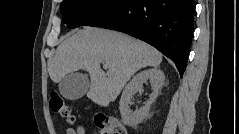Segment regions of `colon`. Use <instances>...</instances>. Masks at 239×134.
I'll use <instances>...</instances> for the list:
<instances>
[{
    "label": "colon",
    "mask_w": 239,
    "mask_h": 134,
    "mask_svg": "<svg viewBox=\"0 0 239 134\" xmlns=\"http://www.w3.org/2000/svg\"><path fill=\"white\" fill-rule=\"evenodd\" d=\"M49 107L53 112L64 118L69 124L75 122V117L72 114L71 108L58 92L52 91L50 93ZM96 126L100 134H127L125 125L120 120L106 114H100L96 118Z\"/></svg>",
    "instance_id": "5ec220e1"
}]
</instances>
